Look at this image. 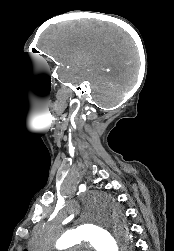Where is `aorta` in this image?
<instances>
[{
    "label": "aorta",
    "instance_id": "1",
    "mask_svg": "<svg viewBox=\"0 0 174 251\" xmlns=\"http://www.w3.org/2000/svg\"><path fill=\"white\" fill-rule=\"evenodd\" d=\"M48 237H56L58 232L49 227ZM129 232L122 222L116 223L100 212L99 205L91 202L85 212L84 223L76 229L63 233L54 243V248L64 250L81 242L89 243L97 251L129 250L127 239Z\"/></svg>",
    "mask_w": 174,
    "mask_h": 251
}]
</instances>
